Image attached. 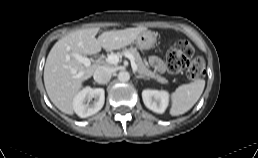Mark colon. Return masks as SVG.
I'll list each match as a JSON object with an SVG mask.
<instances>
[{"mask_svg":"<svg viewBox=\"0 0 258 158\" xmlns=\"http://www.w3.org/2000/svg\"><path fill=\"white\" fill-rule=\"evenodd\" d=\"M166 66L172 73L185 71L190 79H198L204 72L203 59L195 56L194 47L186 40L176 42L168 51Z\"/></svg>","mask_w":258,"mask_h":158,"instance_id":"5ec220e1","label":"colon"}]
</instances>
